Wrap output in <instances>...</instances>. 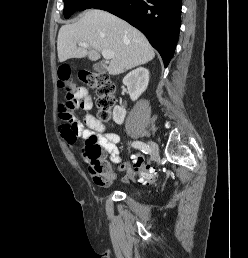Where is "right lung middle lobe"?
<instances>
[{
	"label": "right lung middle lobe",
	"instance_id": "dd1d6c3e",
	"mask_svg": "<svg viewBox=\"0 0 248 258\" xmlns=\"http://www.w3.org/2000/svg\"><path fill=\"white\" fill-rule=\"evenodd\" d=\"M106 1L108 0H64V16L69 18L76 11L95 8Z\"/></svg>",
	"mask_w": 248,
	"mask_h": 258
}]
</instances>
